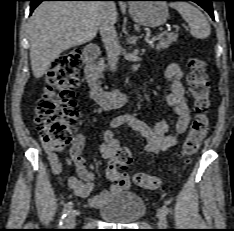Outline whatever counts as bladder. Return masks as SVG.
<instances>
[{
	"instance_id": "obj_1",
	"label": "bladder",
	"mask_w": 234,
	"mask_h": 231,
	"mask_svg": "<svg viewBox=\"0 0 234 231\" xmlns=\"http://www.w3.org/2000/svg\"><path fill=\"white\" fill-rule=\"evenodd\" d=\"M146 203L135 193L121 192L99 209L103 220L115 224H129L141 219L146 213Z\"/></svg>"
}]
</instances>
